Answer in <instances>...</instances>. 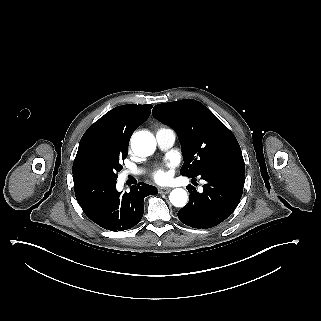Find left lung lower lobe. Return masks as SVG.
Returning <instances> with one entry per match:
<instances>
[{"label":"left lung lower lobe","mask_w":321,"mask_h":321,"mask_svg":"<svg viewBox=\"0 0 321 321\" xmlns=\"http://www.w3.org/2000/svg\"><path fill=\"white\" fill-rule=\"evenodd\" d=\"M197 176L206 181L203 192L198 193L192 185L187 187L190 199L178 212V218L192 228L207 229L224 221L236 209L245 183L243 157L212 163Z\"/></svg>","instance_id":"0a47b994"}]
</instances>
